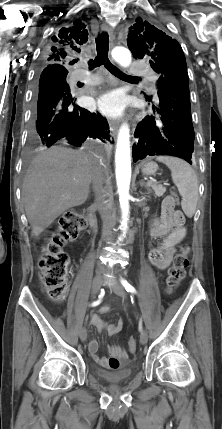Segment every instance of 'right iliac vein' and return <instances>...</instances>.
I'll list each match as a JSON object with an SVG mask.
<instances>
[{"mask_svg": "<svg viewBox=\"0 0 222 429\" xmlns=\"http://www.w3.org/2000/svg\"><path fill=\"white\" fill-rule=\"evenodd\" d=\"M102 274L98 273L95 278L93 279L92 282V288H91V293L92 296L95 297V295L99 292L101 285H102ZM80 339L82 342H85L87 339V330L85 327H82L79 333Z\"/></svg>", "mask_w": 222, "mask_h": 429, "instance_id": "1", "label": "right iliac vein"}]
</instances>
